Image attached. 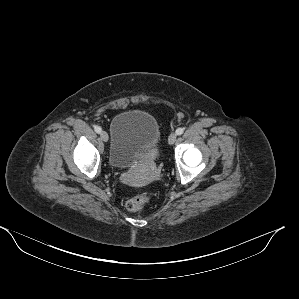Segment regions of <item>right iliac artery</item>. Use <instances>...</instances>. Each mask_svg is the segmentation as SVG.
I'll use <instances>...</instances> for the list:
<instances>
[{"instance_id": "obj_1", "label": "right iliac artery", "mask_w": 299, "mask_h": 299, "mask_svg": "<svg viewBox=\"0 0 299 299\" xmlns=\"http://www.w3.org/2000/svg\"><path fill=\"white\" fill-rule=\"evenodd\" d=\"M94 130H95L96 133H100L102 131L101 127H99V126H96L94 128Z\"/></svg>"}]
</instances>
